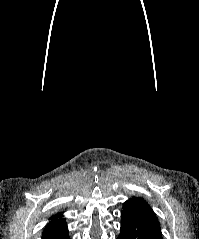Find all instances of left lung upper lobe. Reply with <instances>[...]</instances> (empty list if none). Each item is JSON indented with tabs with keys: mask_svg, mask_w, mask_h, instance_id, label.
Masks as SVG:
<instances>
[{
	"mask_svg": "<svg viewBox=\"0 0 199 239\" xmlns=\"http://www.w3.org/2000/svg\"><path fill=\"white\" fill-rule=\"evenodd\" d=\"M123 211H130L135 214H138L154 223L160 229V224L154 211L149 206V204L142 198L133 197L126 201L123 204Z\"/></svg>",
	"mask_w": 199,
	"mask_h": 239,
	"instance_id": "obj_1",
	"label": "left lung upper lobe"
}]
</instances>
